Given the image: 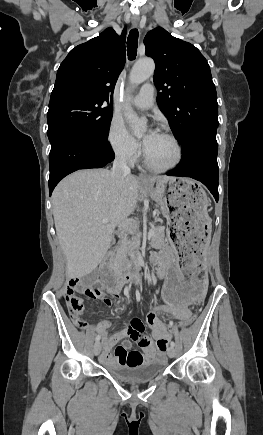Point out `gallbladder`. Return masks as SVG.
<instances>
[{"label":"gallbladder","mask_w":263,"mask_h":435,"mask_svg":"<svg viewBox=\"0 0 263 435\" xmlns=\"http://www.w3.org/2000/svg\"><path fill=\"white\" fill-rule=\"evenodd\" d=\"M98 277H99V270L96 269L91 273H89L88 275L84 276L82 281L85 285L89 286L94 284L98 280Z\"/></svg>","instance_id":"obj_1"}]
</instances>
